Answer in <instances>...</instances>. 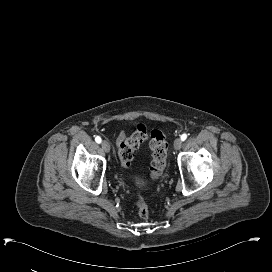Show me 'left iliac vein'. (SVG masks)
<instances>
[{
	"mask_svg": "<svg viewBox=\"0 0 272 272\" xmlns=\"http://www.w3.org/2000/svg\"><path fill=\"white\" fill-rule=\"evenodd\" d=\"M181 146H182V140L179 139V138H177V139L174 141V148H175L176 150H179V149L181 148Z\"/></svg>",
	"mask_w": 272,
	"mask_h": 272,
	"instance_id": "obj_1",
	"label": "left iliac vein"
}]
</instances>
